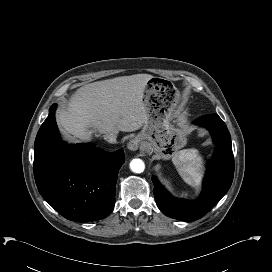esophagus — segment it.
<instances>
[{
	"label": "esophagus",
	"mask_w": 272,
	"mask_h": 272,
	"mask_svg": "<svg viewBox=\"0 0 272 272\" xmlns=\"http://www.w3.org/2000/svg\"><path fill=\"white\" fill-rule=\"evenodd\" d=\"M139 146H140V138L139 137H135V138L131 139L127 144V148L130 151L138 150Z\"/></svg>",
	"instance_id": "esophagus-1"
}]
</instances>
